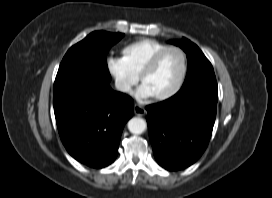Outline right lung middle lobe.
<instances>
[{"instance_id":"dd1d6c3e","label":"right lung middle lobe","mask_w":272,"mask_h":198,"mask_svg":"<svg viewBox=\"0 0 272 198\" xmlns=\"http://www.w3.org/2000/svg\"><path fill=\"white\" fill-rule=\"evenodd\" d=\"M123 36L122 33L95 31L72 46L59 66L53 92L85 79L108 84L111 76L106 55Z\"/></svg>"}]
</instances>
